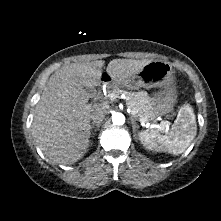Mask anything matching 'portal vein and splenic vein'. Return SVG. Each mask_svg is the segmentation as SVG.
Here are the masks:
<instances>
[{
    "mask_svg": "<svg viewBox=\"0 0 221 221\" xmlns=\"http://www.w3.org/2000/svg\"><path fill=\"white\" fill-rule=\"evenodd\" d=\"M111 97H113V96H111ZM141 122H143V121H141ZM169 124H170V123H169L168 121H163V122H161V124L158 125L157 127L161 128L162 126H164V128H165V127L167 128Z\"/></svg>",
    "mask_w": 221,
    "mask_h": 221,
    "instance_id": "18ae733b",
    "label": "portal vein and splenic vein"
}]
</instances>
